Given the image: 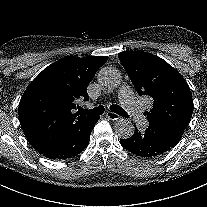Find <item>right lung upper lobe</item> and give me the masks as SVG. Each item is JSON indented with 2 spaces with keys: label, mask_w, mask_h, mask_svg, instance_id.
I'll return each mask as SVG.
<instances>
[{
  "label": "right lung upper lobe",
  "mask_w": 207,
  "mask_h": 207,
  "mask_svg": "<svg viewBox=\"0 0 207 207\" xmlns=\"http://www.w3.org/2000/svg\"><path fill=\"white\" fill-rule=\"evenodd\" d=\"M107 56H68L45 68L28 86L19 104V121L29 143L45 152L78 121L76 101L89 100L87 87Z\"/></svg>",
  "instance_id": "right-lung-upper-lobe-1"
}]
</instances>
